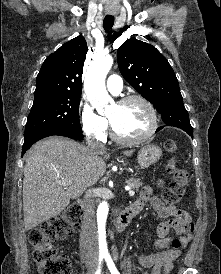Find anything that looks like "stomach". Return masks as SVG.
I'll return each instance as SVG.
<instances>
[{"label": "stomach", "mask_w": 221, "mask_h": 274, "mask_svg": "<svg viewBox=\"0 0 221 274\" xmlns=\"http://www.w3.org/2000/svg\"><path fill=\"white\" fill-rule=\"evenodd\" d=\"M162 152L160 147L154 144L143 146L137 155V161L142 168H147L161 158Z\"/></svg>", "instance_id": "stomach-1"}]
</instances>
